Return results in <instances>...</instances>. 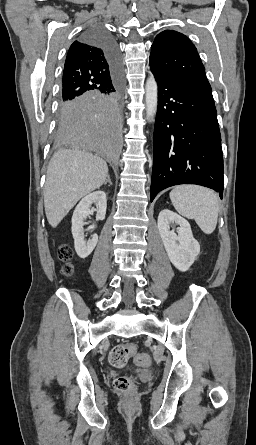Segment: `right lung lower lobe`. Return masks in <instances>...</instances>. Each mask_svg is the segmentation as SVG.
<instances>
[{"instance_id":"obj_1","label":"right lung lower lobe","mask_w":256,"mask_h":445,"mask_svg":"<svg viewBox=\"0 0 256 445\" xmlns=\"http://www.w3.org/2000/svg\"><path fill=\"white\" fill-rule=\"evenodd\" d=\"M83 37L105 52L115 79L106 90L60 99L58 139L114 163L121 151L120 57L113 37L99 26H90Z\"/></svg>"}]
</instances>
